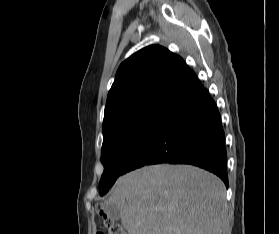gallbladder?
Masks as SVG:
<instances>
[{
    "mask_svg": "<svg viewBox=\"0 0 279 234\" xmlns=\"http://www.w3.org/2000/svg\"><path fill=\"white\" fill-rule=\"evenodd\" d=\"M104 211L107 214V216L113 220H119L120 219V212L116 205H105Z\"/></svg>",
    "mask_w": 279,
    "mask_h": 234,
    "instance_id": "bac80fb5",
    "label": "gallbladder"
}]
</instances>
